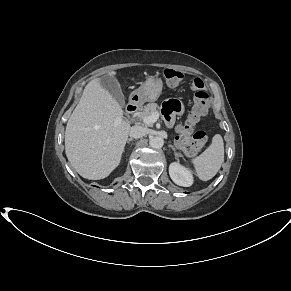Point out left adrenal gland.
Returning <instances> with one entry per match:
<instances>
[{
    "label": "left adrenal gland",
    "instance_id": "1",
    "mask_svg": "<svg viewBox=\"0 0 291 291\" xmlns=\"http://www.w3.org/2000/svg\"><path fill=\"white\" fill-rule=\"evenodd\" d=\"M169 148H171L174 151V153H175L176 156H181L180 153H177L176 152L175 147L173 145H169Z\"/></svg>",
    "mask_w": 291,
    "mask_h": 291
}]
</instances>
